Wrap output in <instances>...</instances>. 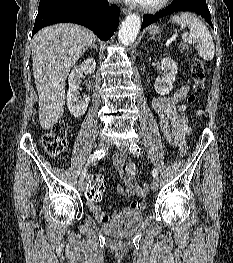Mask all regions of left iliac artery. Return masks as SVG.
<instances>
[{
  "label": "left iliac artery",
  "mask_w": 233,
  "mask_h": 263,
  "mask_svg": "<svg viewBox=\"0 0 233 263\" xmlns=\"http://www.w3.org/2000/svg\"><path fill=\"white\" fill-rule=\"evenodd\" d=\"M129 149H130V152L133 154H140V151H141L140 147L135 143L131 144ZM157 175H158V171L156 168H154L152 171V176L156 178Z\"/></svg>",
  "instance_id": "44dca946"
}]
</instances>
